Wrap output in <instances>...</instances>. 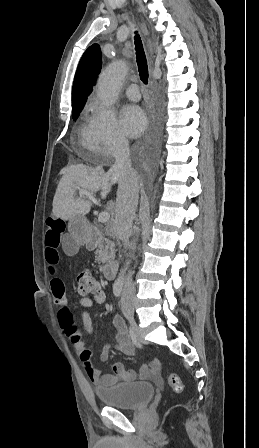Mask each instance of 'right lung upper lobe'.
<instances>
[{
  "label": "right lung upper lobe",
  "instance_id": "obj_1",
  "mask_svg": "<svg viewBox=\"0 0 259 448\" xmlns=\"http://www.w3.org/2000/svg\"><path fill=\"white\" fill-rule=\"evenodd\" d=\"M102 54L98 44H93L84 52L74 78L72 108L82 109L86 98L91 94L96 78L100 73Z\"/></svg>",
  "mask_w": 259,
  "mask_h": 448
}]
</instances>
